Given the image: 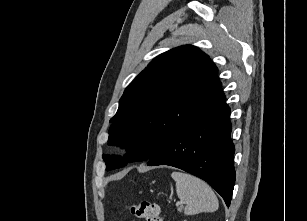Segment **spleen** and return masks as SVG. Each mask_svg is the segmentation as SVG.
Here are the masks:
<instances>
[{"label": "spleen", "mask_w": 307, "mask_h": 221, "mask_svg": "<svg viewBox=\"0 0 307 221\" xmlns=\"http://www.w3.org/2000/svg\"><path fill=\"white\" fill-rule=\"evenodd\" d=\"M171 177L176 182L178 198L186 202V215L215 212L218 209V199L206 182L183 172H173Z\"/></svg>", "instance_id": "3e777b00"}]
</instances>
